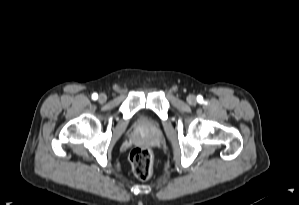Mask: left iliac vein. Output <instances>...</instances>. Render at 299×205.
Returning a JSON list of instances; mask_svg holds the SVG:
<instances>
[{
    "label": "left iliac vein",
    "instance_id": "4c4485c4",
    "mask_svg": "<svg viewBox=\"0 0 299 205\" xmlns=\"http://www.w3.org/2000/svg\"><path fill=\"white\" fill-rule=\"evenodd\" d=\"M187 102L190 104V105H195L197 100H196V97L194 95H189L187 97Z\"/></svg>",
    "mask_w": 299,
    "mask_h": 205
}]
</instances>
